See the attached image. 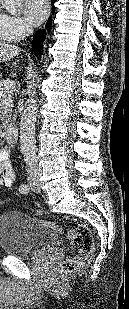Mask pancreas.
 Returning a JSON list of instances; mask_svg holds the SVG:
<instances>
[{"label":"pancreas","mask_w":129,"mask_h":309,"mask_svg":"<svg viewBox=\"0 0 129 309\" xmlns=\"http://www.w3.org/2000/svg\"><path fill=\"white\" fill-rule=\"evenodd\" d=\"M6 82L4 79H0V93H2V97H0V101H4V98H7L9 94L12 93V89H7L3 84ZM12 117V109L10 107H6L3 103L0 104V121L2 123V128L8 126Z\"/></svg>","instance_id":"cf45deb5"}]
</instances>
